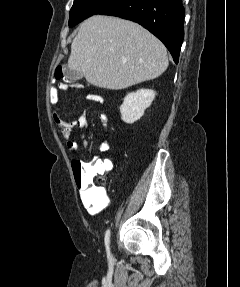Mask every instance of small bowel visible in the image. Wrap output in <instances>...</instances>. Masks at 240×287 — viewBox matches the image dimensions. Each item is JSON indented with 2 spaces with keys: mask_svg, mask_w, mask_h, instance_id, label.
I'll use <instances>...</instances> for the list:
<instances>
[{
  "mask_svg": "<svg viewBox=\"0 0 240 287\" xmlns=\"http://www.w3.org/2000/svg\"><path fill=\"white\" fill-rule=\"evenodd\" d=\"M79 87V86H77ZM87 99L92 102L104 103V98L101 95L98 94H88ZM99 121L102 124L104 128L107 127L108 118L105 114H99ZM55 125L58 128V131L62 137V139L66 143V150L69 153H73L77 149V143L71 140V130L73 128L78 129H88V118L86 113H82L77 116V118L71 122H67L62 115L58 116V118L54 119ZM82 138V144L85 149L89 148V143L85 138V135L83 134L81 136ZM110 145L109 142L105 139L103 140L99 146L98 150L100 153H105L109 150ZM95 163L105 162L102 161L99 157L94 158ZM107 162V161H106ZM80 198L84 205V207L87 209V211L91 215H96L99 212H101L105 207L108 205V198L100 192L99 189L93 188L89 191V194H83L80 192Z\"/></svg>",
  "mask_w": 240,
  "mask_h": 287,
  "instance_id": "c3829d8e",
  "label": "small bowel"
}]
</instances>
